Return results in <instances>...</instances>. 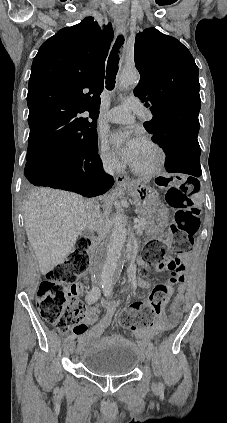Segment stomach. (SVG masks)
<instances>
[{
  "instance_id": "obj_1",
  "label": "stomach",
  "mask_w": 227,
  "mask_h": 423,
  "mask_svg": "<svg viewBox=\"0 0 227 423\" xmlns=\"http://www.w3.org/2000/svg\"><path fill=\"white\" fill-rule=\"evenodd\" d=\"M121 190L128 192L129 196H132L135 200L136 208L141 215H146L147 211L152 210L153 204L158 200V194L154 188L145 186V184H136V182H129L126 186H123Z\"/></svg>"
}]
</instances>
